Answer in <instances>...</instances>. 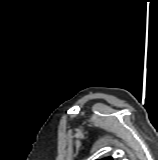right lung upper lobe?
I'll list each match as a JSON object with an SVG mask.
<instances>
[{"mask_svg": "<svg viewBox=\"0 0 158 160\" xmlns=\"http://www.w3.org/2000/svg\"><path fill=\"white\" fill-rule=\"evenodd\" d=\"M101 160H113V158L112 157H106V158H103Z\"/></svg>", "mask_w": 158, "mask_h": 160, "instance_id": "right-lung-upper-lobe-1", "label": "right lung upper lobe"}]
</instances>
